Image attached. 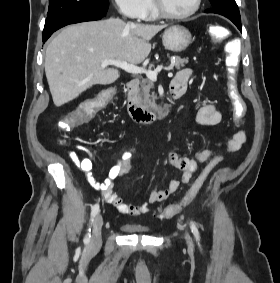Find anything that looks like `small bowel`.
<instances>
[{"label":"small bowel","instance_id":"c3829d8e","mask_svg":"<svg viewBox=\"0 0 280 283\" xmlns=\"http://www.w3.org/2000/svg\"><path fill=\"white\" fill-rule=\"evenodd\" d=\"M191 74L192 71L190 69H183L176 74L173 82L181 94L185 92ZM195 120L198 124L203 126H215L221 122L222 113L217 110L213 104L206 103L198 109ZM235 125L238 127V130L227 140L222 150H198L194 157H182L176 152L171 151L168 155V160L172 166L182 172L180 179L171 180L166 189L151 191L147 201L140 204L124 202L114 190V180L117 177L127 174L134 165L132 151L130 149L121 153L117 164L110 170L108 177L101 183L96 182L92 177V169L94 166L92 158L81 157L75 152H71L69 157L72 162L87 175L94 187L101 191L104 200L108 204L114 206L117 211L122 214L140 216L148 213L151 205L166 200L179 189L180 185L188 184L192 180L193 175L198 171L200 163L210 162L215 158L222 157L226 153L239 150L246 140V132L240 128V122L235 121Z\"/></svg>","mask_w":280,"mask_h":283}]
</instances>
